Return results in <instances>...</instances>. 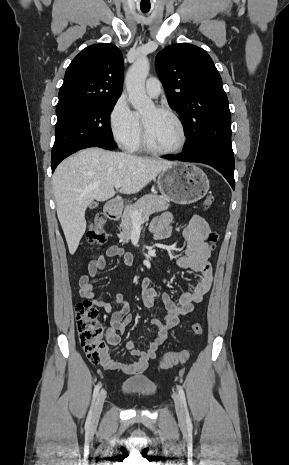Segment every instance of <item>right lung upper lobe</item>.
I'll return each mask as SVG.
<instances>
[{
  "instance_id": "1",
  "label": "right lung upper lobe",
  "mask_w": 289,
  "mask_h": 465,
  "mask_svg": "<svg viewBox=\"0 0 289 465\" xmlns=\"http://www.w3.org/2000/svg\"><path fill=\"white\" fill-rule=\"evenodd\" d=\"M122 78L123 56L115 45L88 46L68 66L56 107L118 99Z\"/></svg>"
}]
</instances>
